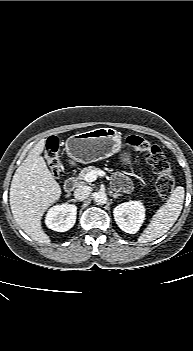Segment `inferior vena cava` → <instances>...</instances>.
<instances>
[{"label": "inferior vena cava", "mask_w": 193, "mask_h": 351, "mask_svg": "<svg viewBox=\"0 0 193 351\" xmlns=\"http://www.w3.org/2000/svg\"><path fill=\"white\" fill-rule=\"evenodd\" d=\"M90 188L88 186H79L75 189L74 191V197L77 199V200H84L86 199L89 194H90Z\"/></svg>", "instance_id": "inferior-vena-cava-1"}]
</instances>
